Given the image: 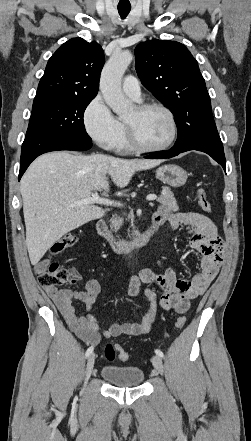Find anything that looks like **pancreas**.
Returning <instances> with one entry per match:
<instances>
[{"label": "pancreas", "mask_w": 251, "mask_h": 441, "mask_svg": "<svg viewBox=\"0 0 251 441\" xmlns=\"http://www.w3.org/2000/svg\"><path fill=\"white\" fill-rule=\"evenodd\" d=\"M160 204H162L167 210L177 212L179 211V207L177 205V201L174 198V194L172 193L169 187H163L162 195L157 199ZM129 219L132 220V214L129 215ZM123 224V219L120 217H115L112 220V228L117 231L120 226Z\"/></svg>", "instance_id": "1"}]
</instances>
